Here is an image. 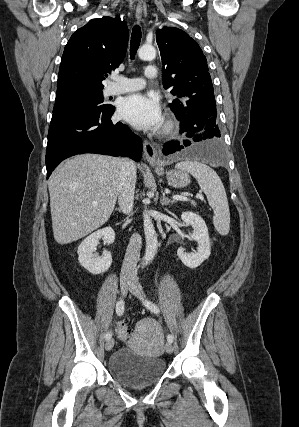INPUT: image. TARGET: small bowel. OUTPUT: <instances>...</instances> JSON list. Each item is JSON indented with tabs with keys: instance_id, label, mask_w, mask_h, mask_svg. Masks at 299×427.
Here are the masks:
<instances>
[{
	"instance_id": "small-bowel-1",
	"label": "small bowel",
	"mask_w": 299,
	"mask_h": 427,
	"mask_svg": "<svg viewBox=\"0 0 299 427\" xmlns=\"http://www.w3.org/2000/svg\"><path fill=\"white\" fill-rule=\"evenodd\" d=\"M121 323V322H120ZM120 323L118 324V326L120 325ZM118 336H119V338L122 340V341H126L128 338H124L122 335H120V334H118Z\"/></svg>"
}]
</instances>
